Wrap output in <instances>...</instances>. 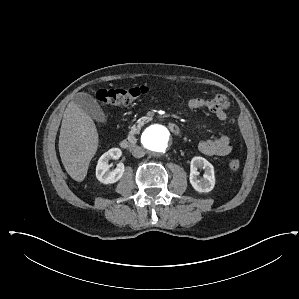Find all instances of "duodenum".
Instances as JSON below:
<instances>
[{
	"label": "duodenum",
	"instance_id": "410a0bca",
	"mask_svg": "<svg viewBox=\"0 0 299 299\" xmlns=\"http://www.w3.org/2000/svg\"><path fill=\"white\" fill-rule=\"evenodd\" d=\"M167 127L174 135L180 136L182 134L180 127L176 123L169 122L167 124ZM136 142H137L136 136L129 135L121 141L120 145L122 148L128 149L133 147L136 144Z\"/></svg>",
	"mask_w": 299,
	"mask_h": 299
}]
</instances>
